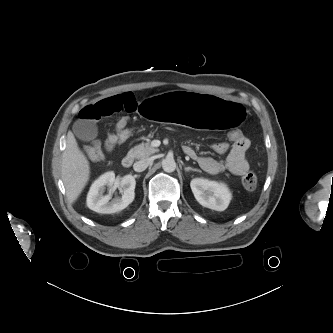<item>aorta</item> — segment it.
<instances>
[{
  "label": "aorta",
  "mask_w": 333,
  "mask_h": 333,
  "mask_svg": "<svg viewBox=\"0 0 333 333\" xmlns=\"http://www.w3.org/2000/svg\"><path fill=\"white\" fill-rule=\"evenodd\" d=\"M162 168L167 173L174 172L176 169V162L173 158H166L162 161Z\"/></svg>",
  "instance_id": "obj_1"
}]
</instances>
